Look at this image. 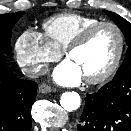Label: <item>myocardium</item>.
<instances>
[{
  "label": "myocardium",
  "mask_w": 131,
  "mask_h": 131,
  "mask_svg": "<svg viewBox=\"0 0 131 131\" xmlns=\"http://www.w3.org/2000/svg\"><path fill=\"white\" fill-rule=\"evenodd\" d=\"M103 27H111L116 31L118 35V49L114 60L105 71L97 76L84 78V81L91 85L100 84L108 80L116 72L121 63L125 50V36L120 26L110 21H100L95 23L79 33L64 50V55L68 58L72 52L84 46L91 36Z\"/></svg>",
  "instance_id": "f54148a6"
}]
</instances>
